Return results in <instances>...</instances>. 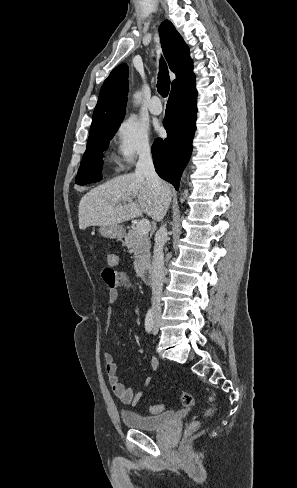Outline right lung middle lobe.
Listing matches in <instances>:
<instances>
[{"label": "right lung middle lobe", "instance_id": "1", "mask_svg": "<svg viewBox=\"0 0 297 488\" xmlns=\"http://www.w3.org/2000/svg\"><path fill=\"white\" fill-rule=\"evenodd\" d=\"M119 126H102L90 133L75 183L85 185L101 179L103 152Z\"/></svg>", "mask_w": 297, "mask_h": 488}]
</instances>
